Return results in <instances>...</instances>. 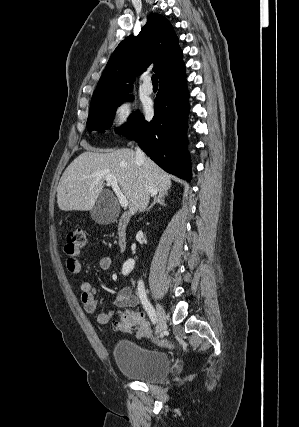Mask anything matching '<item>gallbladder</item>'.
<instances>
[{
	"mask_svg": "<svg viewBox=\"0 0 299 427\" xmlns=\"http://www.w3.org/2000/svg\"><path fill=\"white\" fill-rule=\"evenodd\" d=\"M120 210L114 195L104 190L97 199L94 207L91 209L90 214L94 222L107 225L114 222L119 216Z\"/></svg>",
	"mask_w": 299,
	"mask_h": 427,
	"instance_id": "1",
	"label": "gallbladder"
}]
</instances>
